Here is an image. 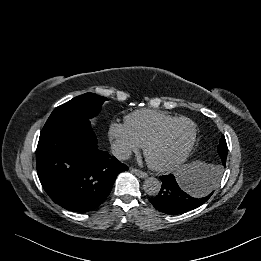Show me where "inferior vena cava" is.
I'll return each instance as SVG.
<instances>
[{"label": "inferior vena cava", "instance_id": "1", "mask_svg": "<svg viewBox=\"0 0 261 261\" xmlns=\"http://www.w3.org/2000/svg\"><path fill=\"white\" fill-rule=\"evenodd\" d=\"M111 151L116 158L121 160H127L131 156L130 149L117 143L112 144Z\"/></svg>", "mask_w": 261, "mask_h": 261}]
</instances>
